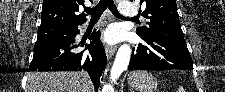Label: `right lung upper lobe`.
<instances>
[{
  "mask_svg": "<svg viewBox=\"0 0 225 92\" xmlns=\"http://www.w3.org/2000/svg\"><path fill=\"white\" fill-rule=\"evenodd\" d=\"M84 0H43L41 25L77 27L86 22V15L79 12Z\"/></svg>",
  "mask_w": 225,
  "mask_h": 92,
  "instance_id": "1",
  "label": "right lung upper lobe"
}]
</instances>
